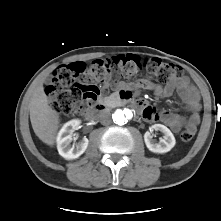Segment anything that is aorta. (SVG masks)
<instances>
[{
    "instance_id": "obj_1",
    "label": "aorta",
    "mask_w": 221,
    "mask_h": 221,
    "mask_svg": "<svg viewBox=\"0 0 221 221\" xmlns=\"http://www.w3.org/2000/svg\"><path fill=\"white\" fill-rule=\"evenodd\" d=\"M132 117H133V113L130 109L117 110L112 115L114 123H116L118 125L125 124Z\"/></svg>"
}]
</instances>
